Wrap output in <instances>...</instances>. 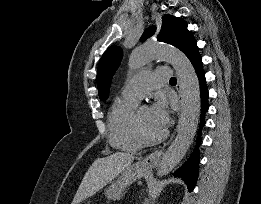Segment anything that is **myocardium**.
Returning <instances> with one entry per match:
<instances>
[{
  "label": "myocardium",
  "mask_w": 261,
  "mask_h": 204,
  "mask_svg": "<svg viewBox=\"0 0 261 204\" xmlns=\"http://www.w3.org/2000/svg\"><path fill=\"white\" fill-rule=\"evenodd\" d=\"M134 127L138 137L144 145L157 144L161 142L167 135L166 131H162L158 135H150L149 133H147L140 122L139 111L136 112L134 115Z\"/></svg>",
  "instance_id": "1"
}]
</instances>
